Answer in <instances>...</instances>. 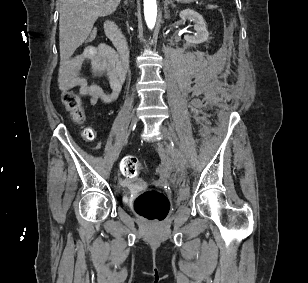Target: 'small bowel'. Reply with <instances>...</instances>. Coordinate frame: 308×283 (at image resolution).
<instances>
[{"label": "small bowel", "mask_w": 308, "mask_h": 283, "mask_svg": "<svg viewBox=\"0 0 308 283\" xmlns=\"http://www.w3.org/2000/svg\"><path fill=\"white\" fill-rule=\"evenodd\" d=\"M85 61L90 62L93 74L106 75L110 92H105L99 85L89 83L80 76V70ZM62 71L71 85L79 89L81 95L90 98L91 104H109L117 100L125 80V72L117 54L109 45L104 43L86 47L81 54L64 63ZM99 147L100 142L97 141L96 148Z\"/></svg>", "instance_id": "1"}]
</instances>
